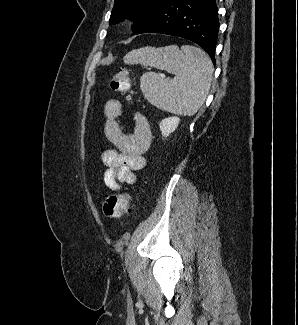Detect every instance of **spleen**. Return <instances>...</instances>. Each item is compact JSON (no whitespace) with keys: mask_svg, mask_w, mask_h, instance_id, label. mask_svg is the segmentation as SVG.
<instances>
[{"mask_svg":"<svg viewBox=\"0 0 298 325\" xmlns=\"http://www.w3.org/2000/svg\"><path fill=\"white\" fill-rule=\"evenodd\" d=\"M123 60L125 64L154 66L175 74L174 78H161L157 72H144L140 76L145 98L160 110L192 116L209 94L213 64L197 46H142L127 52Z\"/></svg>","mask_w":298,"mask_h":325,"instance_id":"1","label":"spleen"}]
</instances>
